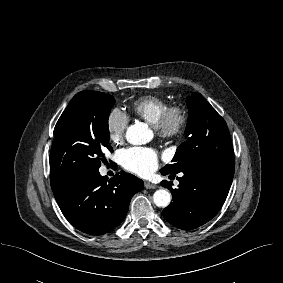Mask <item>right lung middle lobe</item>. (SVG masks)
<instances>
[{
    "mask_svg": "<svg viewBox=\"0 0 283 283\" xmlns=\"http://www.w3.org/2000/svg\"><path fill=\"white\" fill-rule=\"evenodd\" d=\"M114 103L113 96L97 91H81L72 98L54 128L52 190L97 171L105 161V147L112 151L108 118Z\"/></svg>",
    "mask_w": 283,
    "mask_h": 283,
    "instance_id": "obj_1",
    "label": "right lung middle lobe"
}]
</instances>
